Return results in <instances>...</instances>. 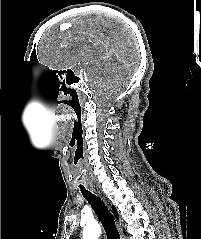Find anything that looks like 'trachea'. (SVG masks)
Listing matches in <instances>:
<instances>
[{
  "label": "trachea",
  "mask_w": 201,
  "mask_h": 239,
  "mask_svg": "<svg viewBox=\"0 0 201 239\" xmlns=\"http://www.w3.org/2000/svg\"><path fill=\"white\" fill-rule=\"evenodd\" d=\"M80 189L83 196L91 205L97 217L101 221L106 232L107 239H120V234L117 230L114 217L105 206L104 202L99 197L86 190L83 186H80Z\"/></svg>",
  "instance_id": "3493384b"
}]
</instances>
